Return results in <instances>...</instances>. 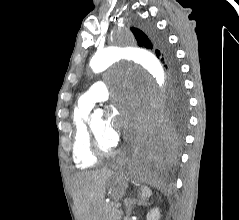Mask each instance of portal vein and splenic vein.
I'll use <instances>...</instances> for the list:
<instances>
[{
  "mask_svg": "<svg viewBox=\"0 0 239 220\" xmlns=\"http://www.w3.org/2000/svg\"><path fill=\"white\" fill-rule=\"evenodd\" d=\"M116 207H117V208L121 207V203H117V204H116Z\"/></svg>",
  "mask_w": 239,
  "mask_h": 220,
  "instance_id": "1",
  "label": "portal vein and splenic vein"
}]
</instances>
